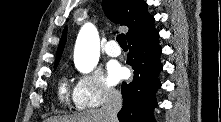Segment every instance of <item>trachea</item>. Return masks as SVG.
Returning <instances> with one entry per match:
<instances>
[{"label": "trachea", "mask_w": 221, "mask_h": 122, "mask_svg": "<svg viewBox=\"0 0 221 122\" xmlns=\"http://www.w3.org/2000/svg\"><path fill=\"white\" fill-rule=\"evenodd\" d=\"M117 42L121 47H127V42L124 34H119L117 36Z\"/></svg>", "instance_id": "3493384b"}]
</instances>
